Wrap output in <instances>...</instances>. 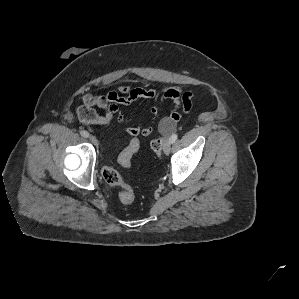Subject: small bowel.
<instances>
[{
	"instance_id": "c3829d8e",
	"label": "small bowel",
	"mask_w": 299,
	"mask_h": 299,
	"mask_svg": "<svg viewBox=\"0 0 299 299\" xmlns=\"http://www.w3.org/2000/svg\"><path fill=\"white\" fill-rule=\"evenodd\" d=\"M193 94L183 91L178 87H167L162 90L145 89L133 85H120L116 91H110L105 95L85 93L82 97L83 104L78 108L79 120L85 125H107L114 119L122 125L131 137L148 136L152 133V125L132 126L120 111L121 106H128L137 101L145 100L151 104L153 119L158 116L159 102L172 100L175 104L169 115L172 123L181 120L183 114H188L192 108ZM104 111L98 113L95 108Z\"/></svg>"
}]
</instances>
